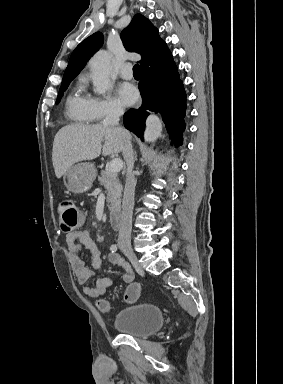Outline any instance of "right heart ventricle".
<instances>
[{"mask_svg": "<svg viewBox=\"0 0 283 384\" xmlns=\"http://www.w3.org/2000/svg\"><path fill=\"white\" fill-rule=\"evenodd\" d=\"M65 114L77 125L93 123L91 96L85 92L82 77H79L68 91L65 99Z\"/></svg>", "mask_w": 283, "mask_h": 384, "instance_id": "obj_1", "label": "right heart ventricle"}]
</instances>
